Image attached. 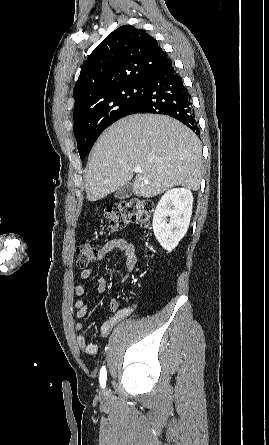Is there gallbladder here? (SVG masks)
<instances>
[{
  "instance_id": "gallbladder-1",
  "label": "gallbladder",
  "mask_w": 269,
  "mask_h": 445,
  "mask_svg": "<svg viewBox=\"0 0 269 445\" xmlns=\"http://www.w3.org/2000/svg\"><path fill=\"white\" fill-rule=\"evenodd\" d=\"M133 193L132 183H128L127 185L118 189L115 193V198L117 199H126L129 198Z\"/></svg>"
}]
</instances>
